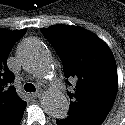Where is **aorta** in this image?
<instances>
[{"label":"aorta","instance_id":"762f6f07","mask_svg":"<svg viewBox=\"0 0 125 125\" xmlns=\"http://www.w3.org/2000/svg\"><path fill=\"white\" fill-rule=\"evenodd\" d=\"M18 58L22 66L36 77L44 79L50 74V52L41 40L25 39L19 46ZM41 105L46 114L57 119L65 118L69 110L66 96L56 89L47 90L42 95Z\"/></svg>","mask_w":125,"mask_h":125}]
</instances>
